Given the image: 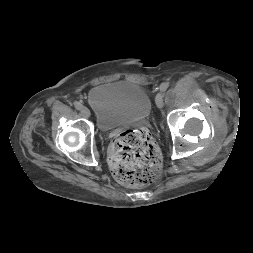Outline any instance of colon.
<instances>
[{"label": "colon", "mask_w": 253, "mask_h": 253, "mask_svg": "<svg viewBox=\"0 0 253 253\" xmlns=\"http://www.w3.org/2000/svg\"><path fill=\"white\" fill-rule=\"evenodd\" d=\"M109 160L115 178L130 187L152 183L161 170L159 149L144 129L120 133L111 145Z\"/></svg>", "instance_id": "5ec220e1"}]
</instances>
